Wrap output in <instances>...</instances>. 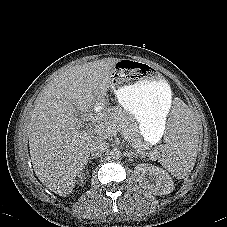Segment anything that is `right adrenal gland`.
<instances>
[{
  "instance_id": "right-adrenal-gland-1",
  "label": "right adrenal gland",
  "mask_w": 227,
  "mask_h": 227,
  "mask_svg": "<svg viewBox=\"0 0 227 227\" xmlns=\"http://www.w3.org/2000/svg\"><path fill=\"white\" fill-rule=\"evenodd\" d=\"M96 157H90L89 159H88V161H89V163H91V160H93V159H95Z\"/></svg>"
}]
</instances>
